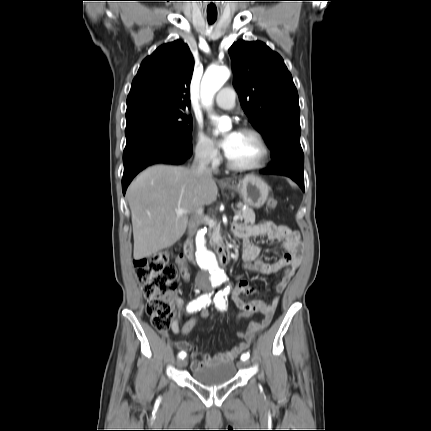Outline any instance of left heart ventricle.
Listing matches in <instances>:
<instances>
[{
  "mask_svg": "<svg viewBox=\"0 0 431 431\" xmlns=\"http://www.w3.org/2000/svg\"><path fill=\"white\" fill-rule=\"evenodd\" d=\"M227 156L236 164H253L260 159L261 148L253 136L238 132Z\"/></svg>",
  "mask_w": 431,
  "mask_h": 431,
  "instance_id": "b2bd125f",
  "label": "left heart ventricle"
}]
</instances>
